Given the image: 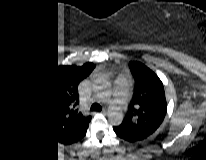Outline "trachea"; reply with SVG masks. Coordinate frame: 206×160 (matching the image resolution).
Instances as JSON below:
<instances>
[{"mask_svg": "<svg viewBox=\"0 0 206 160\" xmlns=\"http://www.w3.org/2000/svg\"><path fill=\"white\" fill-rule=\"evenodd\" d=\"M102 107L100 106V104L98 103H94L92 106H91V110L92 111H101Z\"/></svg>", "mask_w": 206, "mask_h": 160, "instance_id": "3493384b", "label": "trachea"}]
</instances>
